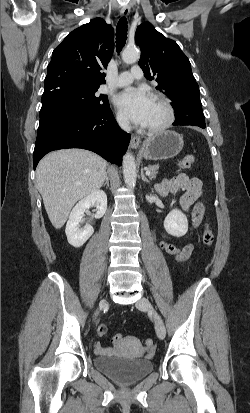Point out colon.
I'll use <instances>...</instances> for the list:
<instances>
[{"mask_svg":"<svg viewBox=\"0 0 250 413\" xmlns=\"http://www.w3.org/2000/svg\"><path fill=\"white\" fill-rule=\"evenodd\" d=\"M195 159L192 155H188L184 157L182 160L179 162V167L182 169H187L189 168L193 163ZM214 240V236L212 233V230L210 228L209 223L206 221L205 227H204V232H203V243L206 246H211ZM97 333L99 336H105L108 333V328L105 324L99 325L97 329ZM122 339V332H117L115 335H113L110 338V341L112 342L113 346H118L119 341ZM145 347L148 353H152L155 349V344L152 339H147L145 341Z\"/></svg>","mask_w":250,"mask_h":413,"instance_id":"5ec220e1","label":"colon"}]
</instances>
